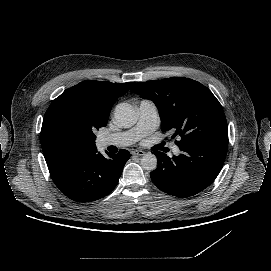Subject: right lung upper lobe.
Returning a JSON list of instances; mask_svg holds the SVG:
<instances>
[{
  "instance_id": "cb5924a9",
  "label": "right lung upper lobe",
  "mask_w": 271,
  "mask_h": 271,
  "mask_svg": "<svg viewBox=\"0 0 271 271\" xmlns=\"http://www.w3.org/2000/svg\"><path fill=\"white\" fill-rule=\"evenodd\" d=\"M134 82L111 83L108 81H83L57 97L49 106L69 101L76 106V112L85 120L93 123L98 128L107 124L113 104L119 96L128 92ZM45 158L54 154L43 152Z\"/></svg>"
}]
</instances>
